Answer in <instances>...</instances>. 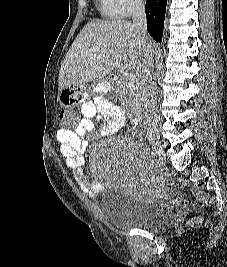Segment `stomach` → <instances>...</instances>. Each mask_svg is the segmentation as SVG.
I'll list each match as a JSON object with an SVG mask.
<instances>
[{
  "instance_id": "obj_1",
  "label": "stomach",
  "mask_w": 227,
  "mask_h": 267,
  "mask_svg": "<svg viewBox=\"0 0 227 267\" xmlns=\"http://www.w3.org/2000/svg\"><path fill=\"white\" fill-rule=\"evenodd\" d=\"M73 87H61L58 91L56 101H62L63 107L81 106L87 102V94H90V87H78V82L72 83ZM96 91L111 90V85H96Z\"/></svg>"
}]
</instances>
